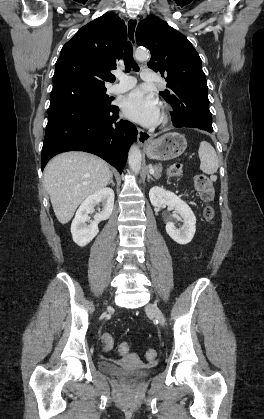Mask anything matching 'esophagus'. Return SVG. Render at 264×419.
Masks as SVG:
<instances>
[{
	"instance_id": "1",
	"label": "esophagus",
	"mask_w": 264,
	"mask_h": 419,
	"mask_svg": "<svg viewBox=\"0 0 264 419\" xmlns=\"http://www.w3.org/2000/svg\"><path fill=\"white\" fill-rule=\"evenodd\" d=\"M138 18L137 17H131L128 19L126 25H127V32H128V39L131 42V44L133 46L136 45V39H135V34H136V28L138 25ZM137 140L139 145H144L146 142L149 141L150 139V135L144 131L141 128H137Z\"/></svg>"
}]
</instances>
